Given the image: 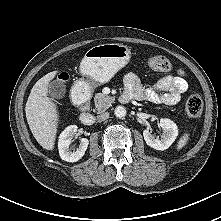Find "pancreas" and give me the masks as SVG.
Masks as SVG:
<instances>
[{
    "instance_id": "1",
    "label": "pancreas",
    "mask_w": 221,
    "mask_h": 221,
    "mask_svg": "<svg viewBox=\"0 0 221 221\" xmlns=\"http://www.w3.org/2000/svg\"><path fill=\"white\" fill-rule=\"evenodd\" d=\"M113 101L114 97H110L103 93H97L94 98L95 107L98 112H103L107 110L111 106Z\"/></svg>"
}]
</instances>
